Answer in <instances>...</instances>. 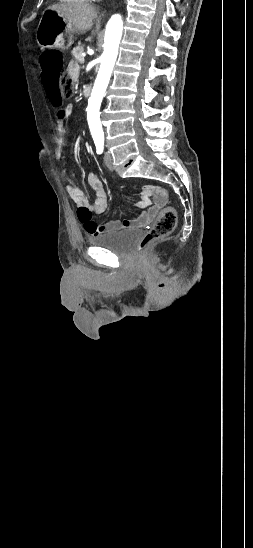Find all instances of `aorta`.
Here are the masks:
<instances>
[{
    "mask_svg": "<svg viewBox=\"0 0 253 548\" xmlns=\"http://www.w3.org/2000/svg\"><path fill=\"white\" fill-rule=\"evenodd\" d=\"M123 21L119 14L113 15L106 26L104 51L100 58V69L88 102V121L93 138H103L99 109L108 86L111 73L118 55L122 37Z\"/></svg>",
    "mask_w": 253,
    "mask_h": 548,
    "instance_id": "aorta-1",
    "label": "aorta"
}]
</instances>
